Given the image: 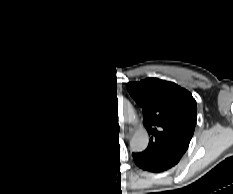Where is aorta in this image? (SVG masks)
Returning <instances> with one entry per match:
<instances>
[{
  "label": "aorta",
  "mask_w": 233,
  "mask_h": 194,
  "mask_svg": "<svg viewBox=\"0 0 233 194\" xmlns=\"http://www.w3.org/2000/svg\"><path fill=\"white\" fill-rule=\"evenodd\" d=\"M118 113L123 122L136 123L137 117L135 112L127 105L123 99L118 100ZM148 136L146 132L135 134L131 140V145L136 150H142L147 146Z\"/></svg>",
  "instance_id": "aorta-1"
}]
</instances>
